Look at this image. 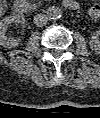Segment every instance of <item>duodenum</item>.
I'll return each mask as SVG.
<instances>
[{
	"mask_svg": "<svg viewBox=\"0 0 100 118\" xmlns=\"http://www.w3.org/2000/svg\"><path fill=\"white\" fill-rule=\"evenodd\" d=\"M63 5L72 10L77 8V3L74 0H63ZM14 10L18 15L26 16L31 14L32 7L25 0H16Z\"/></svg>",
	"mask_w": 100,
	"mask_h": 118,
	"instance_id": "1",
	"label": "duodenum"
}]
</instances>
